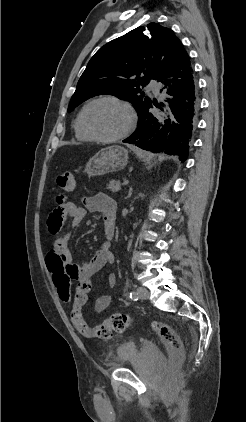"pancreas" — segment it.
Returning <instances> with one entry per match:
<instances>
[{"mask_svg": "<svg viewBox=\"0 0 246 422\" xmlns=\"http://www.w3.org/2000/svg\"><path fill=\"white\" fill-rule=\"evenodd\" d=\"M116 187L118 188L117 190H120V187H121V185H120V181L111 180V181L109 182V184H107V189H109V190H110V191H112V192L117 191V190H116Z\"/></svg>", "mask_w": 246, "mask_h": 422, "instance_id": "obj_1", "label": "pancreas"}]
</instances>
